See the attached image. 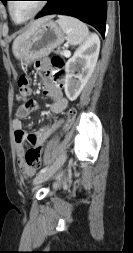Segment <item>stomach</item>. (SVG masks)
I'll use <instances>...</instances> for the list:
<instances>
[{"instance_id":"stomach-1","label":"stomach","mask_w":133,"mask_h":253,"mask_svg":"<svg viewBox=\"0 0 133 253\" xmlns=\"http://www.w3.org/2000/svg\"><path fill=\"white\" fill-rule=\"evenodd\" d=\"M64 33L53 21L41 24L38 29L26 39L18 50V58L29 64L36 59L48 56L55 48L64 42Z\"/></svg>"}]
</instances>
